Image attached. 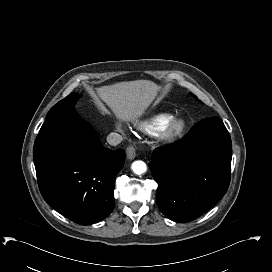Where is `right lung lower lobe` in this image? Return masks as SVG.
<instances>
[{
  "mask_svg": "<svg viewBox=\"0 0 272 272\" xmlns=\"http://www.w3.org/2000/svg\"><path fill=\"white\" fill-rule=\"evenodd\" d=\"M33 158L40 192L56 211L80 225L101 221L112 212L124 150L103 147L74 108L46 118Z\"/></svg>",
  "mask_w": 272,
  "mask_h": 272,
  "instance_id": "right-lung-lower-lobe-1",
  "label": "right lung lower lobe"
}]
</instances>
